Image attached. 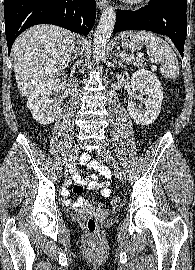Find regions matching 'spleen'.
Returning a JSON list of instances; mask_svg holds the SVG:
<instances>
[{
	"instance_id": "3e777b00",
	"label": "spleen",
	"mask_w": 195,
	"mask_h": 270,
	"mask_svg": "<svg viewBox=\"0 0 195 270\" xmlns=\"http://www.w3.org/2000/svg\"><path fill=\"white\" fill-rule=\"evenodd\" d=\"M138 35L145 41L147 54L151 60L160 64V73L167 78L176 79L179 75V65L170 45L148 31H139Z\"/></svg>"
}]
</instances>
